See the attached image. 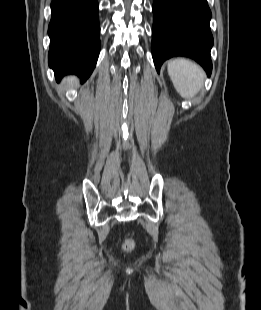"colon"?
<instances>
[{"mask_svg": "<svg viewBox=\"0 0 261 310\" xmlns=\"http://www.w3.org/2000/svg\"><path fill=\"white\" fill-rule=\"evenodd\" d=\"M126 246H127L128 248H130V247L132 246V243H131L130 241H128V242L126 243Z\"/></svg>", "mask_w": 261, "mask_h": 310, "instance_id": "colon-1", "label": "colon"}]
</instances>
